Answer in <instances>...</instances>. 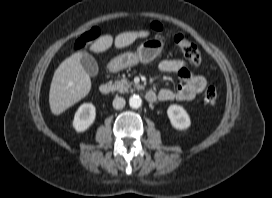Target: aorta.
<instances>
[{
    "mask_svg": "<svg viewBox=\"0 0 272 198\" xmlns=\"http://www.w3.org/2000/svg\"><path fill=\"white\" fill-rule=\"evenodd\" d=\"M129 105L133 109H137L142 105V99L138 95H133L129 99Z\"/></svg>",
    "mask_w": 272,
    "mask_h": 198,
    "instance_id": "obj_1",
    "label": "aorta"
}]
</instances>
